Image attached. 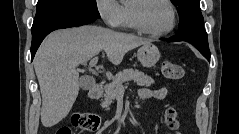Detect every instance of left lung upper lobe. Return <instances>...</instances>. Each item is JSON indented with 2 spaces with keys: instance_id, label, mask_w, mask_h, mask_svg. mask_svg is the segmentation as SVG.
Listing matches in <instances>:
<instances>
[{
  "instance_id": "5c2ea615",
  "label": "left lung upper lobe",
  "mask_w": 239,
  "mask_h": 134,
  "mask_svg": "<svg viewBox=\"0 0 239 134\" xmlns=\"http://www.w3.org/2000/svg\"><path fill=\"white\" fill-rule=\"evenodd\" d=\"M177 7L180 23L176 34L197 33L206 34L203 26V16L200 10V0H171Z\"/></svg>"
}]
</instances>
